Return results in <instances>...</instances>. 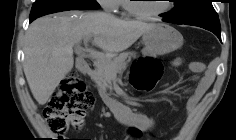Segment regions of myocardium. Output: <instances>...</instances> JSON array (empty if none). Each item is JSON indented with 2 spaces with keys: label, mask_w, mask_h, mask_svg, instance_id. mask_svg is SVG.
Masks as SVG:
<instances>
[{
  "label": "myocardium",
  "mask_w": 236,
  "mask_h": 140,
  "mask_svg": "<svg viewBox=\"0 0 236 140\" xmlns=\"http://www.w3.org/2000/svg\"><path fill=\"white\" fill-rule=\"evenodd\" d=\"M132 1L133 0H128L126 2V10L131 15H133L134 17L139 18V19H144V20L153 19V18L159 17V16L169 12L172 9V3L170 2L171 0H169L167 3V6L164 9L157 11V12L145 13V12L140 11L136 7L135 3Z\"/></svg>",
  "instance_id": "f54148a6"
}]
</instances>
